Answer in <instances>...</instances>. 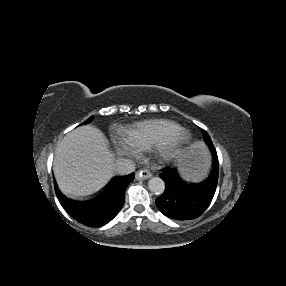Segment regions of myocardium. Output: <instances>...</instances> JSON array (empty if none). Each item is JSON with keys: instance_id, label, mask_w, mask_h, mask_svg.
I'll return each instance as SVG.
<instances>
[{"instance_id": "f54148a6", "label": "myocardium", "mask_w": 286, "mask_h": 286, "mask_svg": "<svg viewBox=\"0 0 286 286\" xmlns=\"http://www.w3.org/2000/svg\"><path fill=\"white\" fill-rule=\"evenodd\" d=\"M195 142L194 134L187 129H182L166 141L153 146L155 157L163 163H172L180 159Z\"/></svg>"}]
</instances>
